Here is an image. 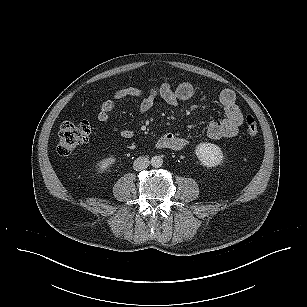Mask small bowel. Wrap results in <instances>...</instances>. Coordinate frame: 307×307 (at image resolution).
Masks as SVG:
<instances>
[{"label": "small bowel", "instance_id": "c3829d8e", "mask_svg": "<svg viewBox=\"0 0 307 307\" xmlns=\"http://www.w3.org/2000/svg\"><path fill=\"white\" fill-rule=\"evenodd\" d=\"M195 88L189 82H183L176 88L170 84L164 83L160 86L150 89L138 87H124L117 89L111 99L105 100L97 114V120L100 123H108L110 113L122 101H130L131 104L141 113L150 111L160 97L169 105L175 106L181 101H187L194 96ZM219 102L225 112V117L212 120L207 128V134L210 138H232L239 132L243 122L242 113L236 103L235 93L230 89H224L219 94ZM114 129H116L114 127ZM124 139H130L133 136L131 130L125 129L120 132ZM157 146L162 149L181 150L188 144L186 138L171 133L160 136L157 140Z\"/></svg>", "mask_w": 307, "mask_h": 307}]
</instances>
